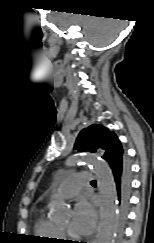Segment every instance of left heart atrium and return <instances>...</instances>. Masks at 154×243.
<instances>
[{
    "label": "left heart atrium",
    "mask_w": 154,
    "mask_h": 243,
    "mask_svg": "<svg viewBox=\"0 0 154 243\" xmlns=\"http://www.w3.org/2000/svg\"><path fill=\"white\" fill-rule=\"evenodd\" d=\"M95 225L96 213L91 203L86 200L78 202L70 223V231L76 235H88L94 230Z\"/></svg>",
    "instance_id": "left-heart-atrium-1"
}]
</instances>
